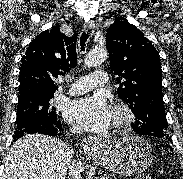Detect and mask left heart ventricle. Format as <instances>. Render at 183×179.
Segmentation results:
<instances>
[{"instance_id":"left-heart-ventricle-1","label":"left heart ventricle","mask_w":183,"mask_h":179,"mask_svg":"<svg viewBox=\"0 0 183 179\" xmlns=\"http://www.w3.org/2000/svg\"><path fill=\"white\" fill-rule=\"evenodd\" d=\"M114 119H115V114L112 111V120H111L112 123H113Z\"/></svg>"}]
</instances>
